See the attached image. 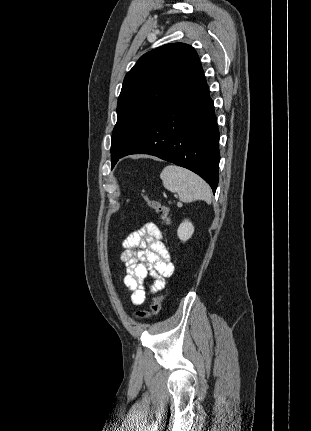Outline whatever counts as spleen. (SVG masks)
I'll return each instance as SVG.
<instances>
[{
  "label": "spleen",
  "mask_w": 311,
  "mask_h": 431,
  "mask_svg": "<svg viewBox=\"0 0 311 431\" xmlns=\"http://www.w3.org/2000/svg\"><path fill=\"white\" fill-rule=\"evenodd\" d=\"M160 178L166 190L178 194L180 202L204 200L211 204L212 194L208 184L193 172L179 166H166Z\"/></svg>",
  "instance_id": "spleen-1"
}]
</instances>
